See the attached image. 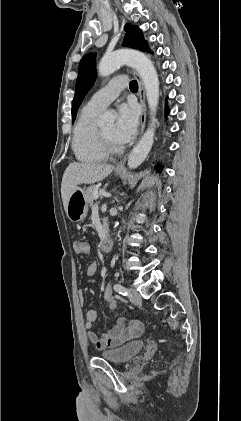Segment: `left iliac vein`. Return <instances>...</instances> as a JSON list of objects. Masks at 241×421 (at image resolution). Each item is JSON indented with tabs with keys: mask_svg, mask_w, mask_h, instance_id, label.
Returning a JSON list of instances; mask_svg holds the SVG:
<instances>
[{
	"mask_svg": "<svg viewBox=\"0 0 241 421\" xmlns=\"http://www.w3.org/2000/svg\"><path fill=\"white\" fill-rule=\"evenodd\" d=\"M128 298H129L130 302H132L133 304H140L141 303L140 294L132 288L128 289Z\"/></svg>",
	"mask_w": 241,
	"mask_h": 421,
	"instance_id": "obj_1",
	"label": "left iliac vein"
}]
</instances>
